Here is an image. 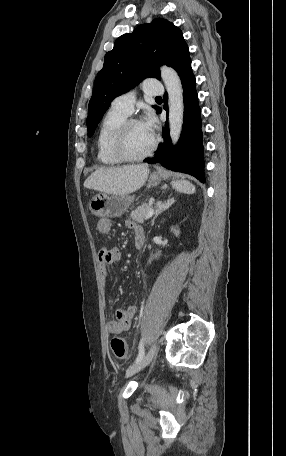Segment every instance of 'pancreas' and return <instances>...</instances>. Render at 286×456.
<instances>
[{
    "label": "pancreas",
    "mask_w": 286,
    "mask_h": 456,
    "mask_svg": "<svg viewBox=\"0 0 286 456\" xmlns=\"http://www.w3.org/2000/svg\"><path fill=\"white\" fill-rule=\"evenodd\" d=\"M151 208L152 206L149 204H142L131 212L130 218L137 223H143L144 220H146V216Z\"/></svg>",
    "instance_id": "pancreas-1"
}]
</instances>
